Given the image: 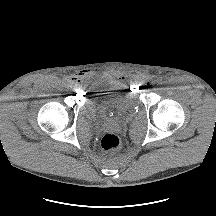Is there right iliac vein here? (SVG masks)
Returning a JSON list of instances; mask_svg holds the SVG:
<instances>
[{
  "mask_svg": "<svg viewBox=\"0 0 216 216\" xmlns=\"http://www.w3.org/2000/svg\"><path fill=\"white\" fill-rule=\"evenodd\" d=\"M72 90L75 92L77 90V86L76 85H73L72 87Z\"/></svg>",
  "mask_w": 216,
  "mask_h": 216,
  "instance_id": "1",
  "label": "right iliac vein"
}]
</instances>
